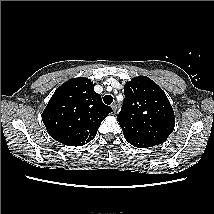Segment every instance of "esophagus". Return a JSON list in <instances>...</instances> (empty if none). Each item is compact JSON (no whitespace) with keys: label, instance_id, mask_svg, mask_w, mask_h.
<instances>
[{"label":"esophagus","instance_id":"esophagus-1","mask_svg":"<svg viewBox=\"0 0 214 214\" xmlns=\"http://www.w3.org/2000/svg\"><path fill=\"white\" fill-rule=\"evenodd\" d=\"M111 107H112V109H113V112H116V111H117V105H116V103H113V104L111 105Z\"/></svg>","mask_w":214,"mask_h":214}]
</instances>
